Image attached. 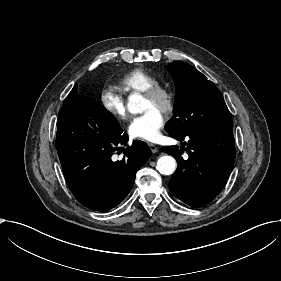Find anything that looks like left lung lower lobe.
<instances>
[{"instance_id":"left-lung-lower-lobe-1","label":"left lung lower lobe","mask_w":281,"mask_h":281,"mask_svg":"<svg viewBox=\"0 0 281 281\" xmlns=\"http://www.w3.org/2000/svg\"><path fill=\"white\" fill-rule=\"evenodd\" d=\"M186 148L165 146L161 150L173 155L178 163L169 188L172 194L184 203L202 207L211 202L223 189L235 160L233 125L191 131L176 136ZM189 158L184 160L183 151Z\"/></svg>"}]
</instances>
